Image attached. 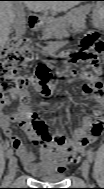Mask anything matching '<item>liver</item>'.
Listing matches in <instances>:
<instances>
[{"mask_svg":"<svg viewBox=\"0 0 104 189\" xmlns=\"http://www.w3.org/2000/svg\"><path fill=\"white\" fill-rule=\"evenodd\" d=\"M78 1H26L24 5L29 10L40 12L46 9L54 11H67L69 8L77 5ZM16 18V12L13 9V2L1 1L0 3V44L3 46L11 32V25Z\"/></svg>","mask_w":104,"mask_h":189,"instance_id":"obj_1","label":"liver"}]
</instances>
